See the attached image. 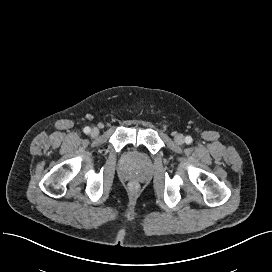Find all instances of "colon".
<instances>
[{"label":"colon","mask_w":272,"mask_h":272,"mask_svg":"<svg viewBox=\"0 0 272 272\" xmlns=\"http://www.w3.org/2000/svg\"><path fill=\"white\" fill-rule=\"evenodd\" d=\"M132 188H136V184L135 183H132Z\"/></svg>","instance_id":"obj_1"}]
</instances>
